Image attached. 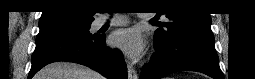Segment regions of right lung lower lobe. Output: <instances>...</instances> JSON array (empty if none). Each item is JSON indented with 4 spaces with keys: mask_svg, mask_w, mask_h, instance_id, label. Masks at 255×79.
I'll return each mask as SVG.
<instances>
[{
    "mask_svg": "<svg viewBox=\"0 0 255 79\" xmlns=\"http://www.w3.org/2000/svg\"><path fill=\"white\" fill-rule=\"evenodd\" d=\"M57 61L88 66L109 79H127V66L121 53L105 46L104 34L91 37L49 34L37 37L28 79L45 65Z\"/></svg>",
    "mask_w": 255,
    "mask_h": 79,
    "instance_id": "right-lung-lower-lobe-1",
    "label": "right lung lower lobe"
}]
</instances>
